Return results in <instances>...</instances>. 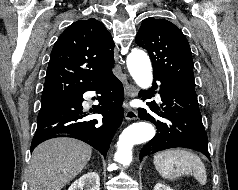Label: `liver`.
I'll return each instance as SVG.
<instances>
[{
  "mask_svg": "<svg viewBox=\"0 0 238 190\" xmlns=\"http://www.w3.org/2000/svg\"><path fill=\"white\" fill-rule=\"evenodd\" d=\"M92 148L74 138H54L38 145L29 166V190H61L91 158Z\"/></svg>",
  "mask_w": 238,
  "mask_h": 190,
  "instance_id": "obj_1",
  "label": "liver"
}]
</instances>
